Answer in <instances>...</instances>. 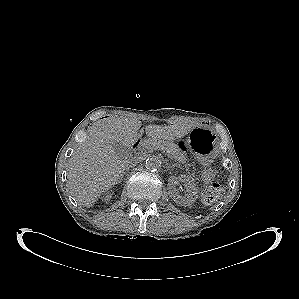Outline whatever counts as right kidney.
<instances>
[{"label": "right kidney", "mask_w": 299, "mask_h": 299, "mask_svg": "<svg viewBox=\"0 0 299 299\" xmlns=\"http://www.w3.org/2000/svg\"><path fill=\"white\" fill-rule=\"evenodd\" d=\"M110 198H111V195H106L104 199H105L106 201H108V200H110Z\"/></svg>", "instance_id": "obj_1"}]
</instances>
